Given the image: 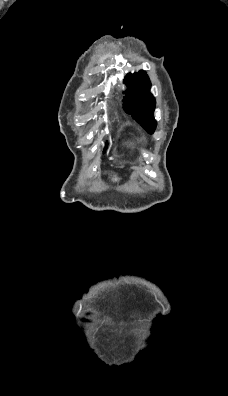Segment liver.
Wrapping results in <instances>:
<instances>
[{
  "instance_id": "liver-1",
  "label": "liver",
  "mask_w": 228,
  "mask_h": 396,
  "mask_svg": "<svg viewBox=\"0 0 228 396\" xmlns=\"http://www.w3.org/2000/svg\"><path fill=\"white\" fill-rule=\"evenodd\" d=\"M113 180H114V181H117V180H118V178H116V177H115Z\"/></svg>"
}]
</instances>
